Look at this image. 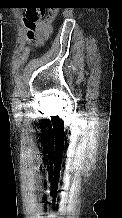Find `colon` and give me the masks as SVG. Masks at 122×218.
<instances>
[{
    "mask_svg": "<svg viewBox=\"0 0 122 218\" xmlns=\"http://www.w3.org/2000/svg\"><path fill=\"white\" fill-rule=\"evenodd\" d=\"M53 16L54 11L46 13L42 8L29 9L25 18L29 40L39 42L46 37L51 30L50 19Z\"/></svg>",
    "mask_w": 122,
    "mask_h": 218,
    "instance_id": "1",
    "label": "colon"
}]
</instances>
